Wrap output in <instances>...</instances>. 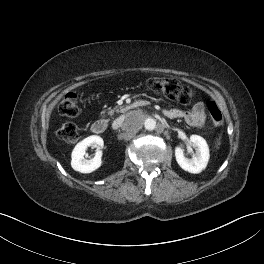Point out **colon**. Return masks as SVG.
I'll use <instances>...</instances> for the list:
<instances>
[{"label": "colon", "instance_id": "5ec220e1", "mask_svg": "<svg viewBox=\"0 0 264 264\" xmlns=\"http://www.w3.org/2000/svg\"><path fill=\"white\" fill-rule=\"evenodd\" d=\"M148 87L166 97L176 100L182 104H188L193 97V91L181 85L176 80L167 78H152L147 82ZM208 113L214 126L218 127L223 122V115L214 101L207 104ZM59 112L68 117H74L79 112L78 96L74 93H68L59 104ZM57 137L67 144H74L78 141V129L74 123H64L56 132Z\"/></svg>", "mask_w": 264, "mask_h": 264}]
</instances>
